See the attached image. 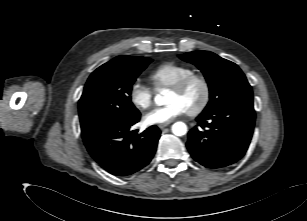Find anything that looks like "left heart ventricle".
<instances>
[{"label":"left heart ventricle","instance_id":"left-heart-ventricle-1","mask_svg":"<svg viewBox=\"0 0 307 221\" xmlns=\"http://www.w3.org/2000/svg\"><path fill=\"white\" fill-rule=\"evenodd\" d=\"M203 89L199 83H193L183 92L170 90L167 96V102H179L185 110L195 108L201 101Z\"/></svg>","mask_w":307,"mask_h":221}]
</instances>
